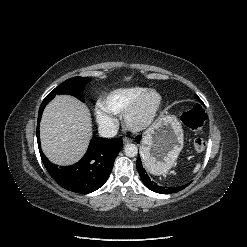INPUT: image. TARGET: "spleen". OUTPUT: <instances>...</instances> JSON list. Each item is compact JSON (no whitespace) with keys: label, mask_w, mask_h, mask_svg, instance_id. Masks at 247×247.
<instances>
[{"label":"spleen","mask_w":247,"mask_h":247,"mask_svg":"<svg viewBox=\"0 0 247 247\" xmlns=\"http://www.w3.org/2000/svg\"><path fill=\"white\" fill-rule=\"evenodd\" d=\"M200 165L198 164L196 167H195V172L199 169Z\"/></svg>","instance_id":"spleen-1"}]
</instances>
